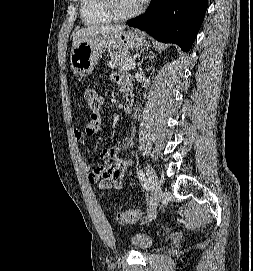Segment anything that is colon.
<instances>
[{"label": "colon", "instance_id": "1", "mask_svg": "<svg viewBox=\"0 0 253 271\" xmlns=\"http://www.w3.org/2000/svg\"><path fill=\"white\" fill-rule=\"evenodd\" d=\"M83 98L89 109L95 114L102 106L101 95L93 88L86 87L82 90ZM141 212L139 209L131 208L116 213V219L123 224H132L139 221Z\"/></svg>", "mask_w": 253, "mask_h": 271}]
</instances>
